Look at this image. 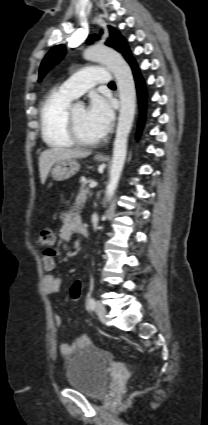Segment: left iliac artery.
Masks as SVG:
<instances>
[{"label": "left iliac artery", "mask_w": 208, "mask_h": 425, "mask_svg": "<svg viewBox=\"0 0 208 425\" xmlns=\"http://www.w3.org/2000/svg\"><path fill=\"white\" fill-rule=\"evenodd\" d=\"M95 304H96V302H95L94 298L91 297V298L88 299L87 305H88L89 309L94 310Z\"/></svg>", "instance_id": "obj_1"}]
</instances>
